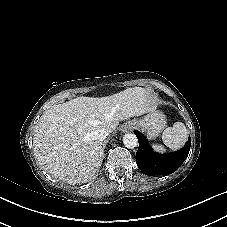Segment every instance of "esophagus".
I'll use <instances>...</instances> for the list:
<instances>
[{
  "label": "esophagus",
  "mask_w": 227,
  "mask_h": 227,
  "mask_svg": "<svg viewBox=\"0 0 227 227\" xmlns=\"http://www.w3.org/2000/svg\"><path fill=\"white\" fill-rule=\"evenodd\" d=\"M127 129H128V130H130L131 128H130V127H128Z\"/></svg>",
  "instance_id": "1"
}]
</instances>
